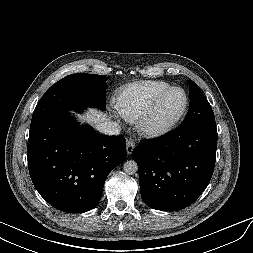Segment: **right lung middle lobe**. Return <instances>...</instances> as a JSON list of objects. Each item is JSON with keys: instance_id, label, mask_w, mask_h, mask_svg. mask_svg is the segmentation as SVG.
Listing matches in <instances>:
<instances>
[{"instance_id": "right-lung-middle-lobe-1", "label": "right lung middle lobe", "mask_w": 253, "mask_h": 253, "mask_svg": "<svg viewBox=\"0 0 253 253\" xmlns=\"http://www.w3.org/2000/svg\"><path fill=\"white\" fill-rule=\"evenodd\" d=\"M105 80L95 74H71L59 80L38 102L30 126L71 109L81 111L90 106L104 110Z\"/></svg>"}]
</instances>
